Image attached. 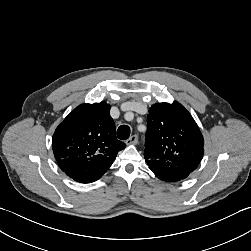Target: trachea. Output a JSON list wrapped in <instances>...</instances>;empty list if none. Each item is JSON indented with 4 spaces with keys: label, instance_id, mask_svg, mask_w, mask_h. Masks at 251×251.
Instances as JSON below:
<instances>
[{
    "label": "trachea",
    "instance_id": "3493384b",
    "mask_svg": "<svg viewBox=\"0 0 251 251\" xmlns=\"http://www.w3.org/2000/svg\"><path fill=\"white\" fill-rule=\"evenodd\" d=\"M117 136L121 140H126L130 136V127L127 125H121L117 130Z\"/></svg>",
    "mask_w": 251,
    "mask_h": 251
}]
</instances>
